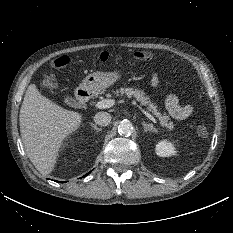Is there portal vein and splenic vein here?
I'll return each instance as SVG.
<instances>
[{"label":"portal vein and splenic vein","instance_id":"1","mask_svg":"<svg viewBox=\"0 0 233 233\" xmlns=\"http://www.w3.org/2000/svg\"><path fill=\"white\" fill-rule=\"evenodd\" d=\"M133 104H136V103L133 102ZM113 105H115V100L114 99H105V100L97 102L95 104V107H97L99 109H105V108H110ZM138 107L150 120H152L154 123H157L156 119L151 114H149L147 111L142 109L140 106H138Z\"/></svg>","mask_w":233,"mask_h":233}]
</instances>
